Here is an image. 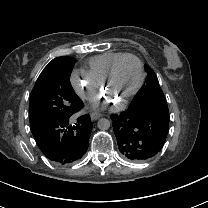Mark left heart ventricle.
Returning <instances> with one entry per match:
<instances>
[{
    "instance_id": "obj_1",
    "label": "left heart ventricle",
    "mask_w": 208,
    "mask_h": 208,
    "mask_svg": "<svg viewBox=\"0 0 208 208\" xmlns=\"http://www.w3.org/2000/svg\"><path fill=\"white\" fill-rule=\"evenodd\" d=\"M140 78L138 63L134 59H125L118 66L112 82L107 86V95L111 99H121L129 94Z\"/></svg>"
}]
</instances>
